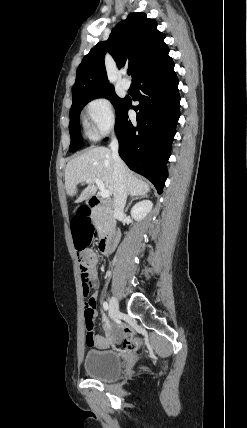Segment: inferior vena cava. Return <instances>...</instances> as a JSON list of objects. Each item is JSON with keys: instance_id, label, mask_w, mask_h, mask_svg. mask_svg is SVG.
Returning a JSON list of instances; mask_svg holds the SVG:
<instances>
[{"instance_id": "obj_1", "label": "inferior vena cava", "mask_w": 247, "mask_h": 428, "mask_svg": "<svg viewBox=\"0 0 247 428\" xmlns=\"http://www.w3.org/2000/svg\"><path fill=\"white\" fill-rule=\"evenodd\" d=\"M114 162V218L120 217L124 212L127 199V185L125 165L119 156V143L113 135L110 143Z\"/></svg>"}]
</instances>
